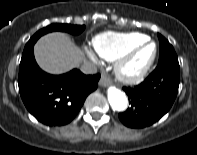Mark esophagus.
Listing matches in <instances>:
<instances>
[{
    "label": "esophagus",
    "mask_w": 197,
    "mask_h": 155,
    "mask_svg": "<svg viewBox=\"0 0 197 155\" xmlns=\"http://www.w3.org/2000/svg\"><path fill=\"white\" fill-rule=\"evenodd\" d=\"M100 86L102 87H107L111 84V80L109 78V76H107L106 74H102L100 81H99Z\"/></svg>",
    "instance_id": "obj_1"
}]
</instances>
